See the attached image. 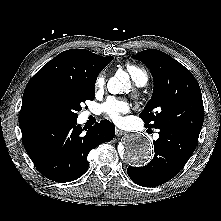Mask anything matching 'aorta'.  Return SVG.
<instances>
[{"mask_svg": "<svg viewBox=\"0 0 221 221\" xmlns=\"http://www.w3.org/2000/svg\"><path fill=\"white\" fill-rule=\"evenodd\" d=\"M129 75L118 70L114 77L107 83L111 94H122L128 91ZM120 156L129 164L141 166L150 161L152 145L150 140L141 133H131L122 142Z\"/></svg>", "mask_w": 221, "mask_h": 221, "instance_id": "aorta-1", "label": "aorta"}]
</instances>
